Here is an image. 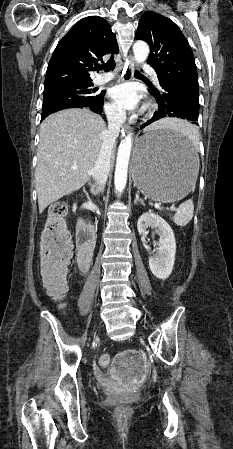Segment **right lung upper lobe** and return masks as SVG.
Returning <instances> with one entry per match:
<instances>
[{"instance_id":"right-lung-upper-lobe-1","label":"right lung upper lobe","mask_w":233,"mask_h":449,"mask_svg":"<svg viewBox=\"0 0 233 449\" xmlns=\"http://www.w3.org/2000/svg\"><path fill=\"white\" fill-rule=\"evenodd\" d=\"M116 36L99 16L80 20L61 39L49 61L44 91L67 85L90 84L89 71L110 52L118 53Z\"/></svg>"}]
</instances>
